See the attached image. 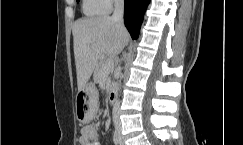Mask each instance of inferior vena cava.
<instances>
[{"label":"inferior vena cava","instance_id":"602c4592","mask_svg":"<svg viewBox=\"0 0 243 145\" xmlns=\"http://www.w3.org/2000/svg\"><path fill=\"white\" fill-rule=\"evenodd\" d=\"M123 11H124V1L115 0L114 1V13L112 15V20L117 22L119 26L123 27ZM119 113V102L117 101L113 106V114L117 118Z\"/></svg>","mask_w":243,"mask_h":145}]
</instances>
